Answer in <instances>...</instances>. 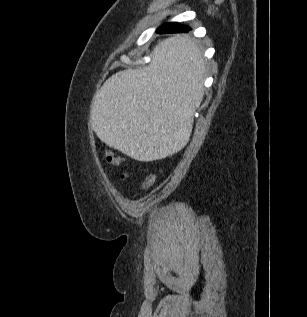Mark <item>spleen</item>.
Masks as SVG:
<instances>
[{
  "mask_svg": "<svg viewBox=\"0 0 307 317\" xmlns=\"http://www.w3.org/2000/svg\"><path fill=\"white\" fill-rule=\"evenodd\" d=\"M198 37L161 42L148 67L120 71L96 97L93 128L107 145L134 160L178 155L203 98Z\"/></svg>",
  "mask_w": 307,
  "mask_h": 317,
  "instance_id": "3e777b00",
  "label": "spleen"
}]
</instances>
